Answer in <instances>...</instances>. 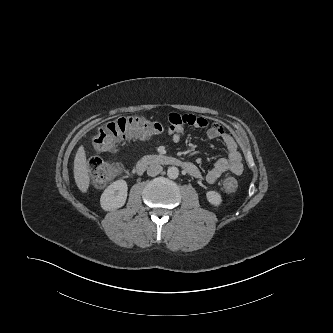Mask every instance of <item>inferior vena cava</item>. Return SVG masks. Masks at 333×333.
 <instances>
[{
  "instance_id": "inferior-vena-cava-1",
  "label": "inferior vena cava",
  "mask_w": 333,
  "mask_h": 333,
  "mask_svg": "<svg viewBox=\"0 0 333 333\" xmlns=\"http://www.w3.org/2000/svg\"><path fill=\"white\" fill-rule=\"evenodd\" d=\"M162 170H163V168H162L161 165H159V164H152V165H150V166L148 167V169H147V174H148L149 176L154 177V176L158 175L159 173H161Z\"/></svg>"
}]
</instances>
